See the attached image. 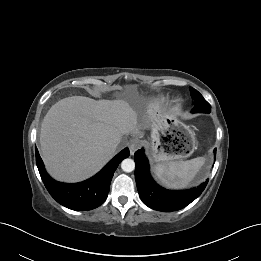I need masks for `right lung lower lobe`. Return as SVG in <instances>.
<instances>
[{
	"instance_id": "right-lung-lower-lobe-1",
	"label": "right lung lower lobe",
	"mask_w": 261,
	"mask_h": 261,
	"mask_svg": "<svg viewBox=\"0 0 261 261\" xmlns=\"http://www.w3.org/2000/svg\"><path fill=\"white\" fill-rule=\"evenodd\" d=\"M129 154L128 148L123 149L95 176L75 184L53 180L46 173L37 149L36 164L45 187L58 203L72 210L85 211L100 206L106 200L113 174Z\"/></svg>"
}]
</instances>
